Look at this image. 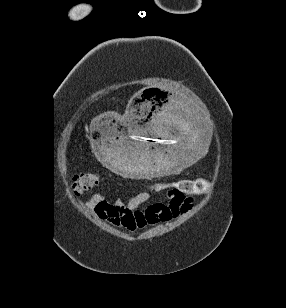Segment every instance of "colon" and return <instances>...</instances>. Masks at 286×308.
Listing matches in <instances>:
<instances>
[{"mask_svg": "<svg viewBox=\"0 0 286 308\" xmlns=\"http://www.w3.org/2000/svg\"><path fill=\"white\" fill-rule=\"evenodd\" d=\"M100 181L93 172L76 174L72 178V187L77 193H84L93 189ZM172 187L178 191L204 193L210 189V183L205 179H183L172 183H158L156 189Z\"/></svg>", "mask_w": 286, "mask_h": 308, "instance_id": "colon-1", "label": "colon"}]
</instances>
